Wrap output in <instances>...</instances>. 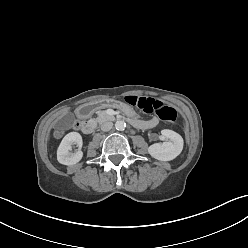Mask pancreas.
<instances>
[{
    "instance_id": "cf45deb5",
    "label": "pancreas",
    "mask_w": 248,
    "mask_h": 248,
    "mask_svg": "<svg viewBox=\"0 0 248 248\" xmlns=\"http://www.w3.org/2000/svg\"><path fill=\"white\" fill-rule=\"evenodd\" d=\"M96 113H97L96 121L100 124L105 121L113 119V117L109 116L104 110H98Z\"/></svg>"
}]
</instances>
